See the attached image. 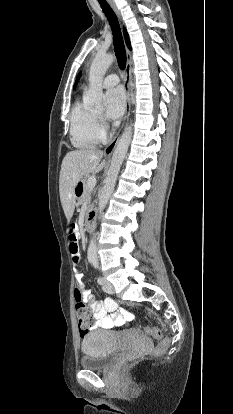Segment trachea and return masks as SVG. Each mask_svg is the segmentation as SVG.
<instances>
[{
    "label": "trachea",
    "instance_id": "3493384b",
    "mask_svg": "<svg viewBox=\"0 0 233 414\" xmlns=\"http://www.w3.org/2000/svg\"><path fill=\"white\" fill-rule=\"evenodd\" d=\"M98 1L111 26L115 55L117 57L119 68L123 70L126 67V51L118 19L105 0Z\"/></svg>",
    "mask_w": 233,
    "mask_h": 414
}]
</instances>
